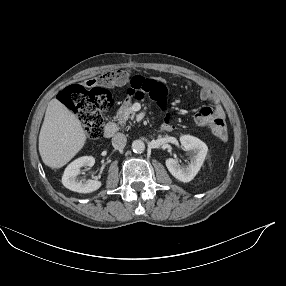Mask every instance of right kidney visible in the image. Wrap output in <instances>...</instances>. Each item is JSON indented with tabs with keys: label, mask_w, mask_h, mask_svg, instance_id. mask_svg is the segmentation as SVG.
Here are the masks:
<instances>
[{
	"label": "right kidney",
	"mask_w": 286,
	"mask_h": 286,
	"mask_svg": "<svg viewBox=\"0 0 286 286\" xmlns=\"http://www.w3.org/2000/svg\"><path fill=\"white\" fill-rule=\"evenodd\" d=\"M95 159L92 156H83L71 162L65 169L62 183L71 191L79 193H91L99 189L102 185L97 180H79L80 168L84 166H93Z\"/></svg>",
	"instance_id": "right-kidney-1"
}]
</instances>
